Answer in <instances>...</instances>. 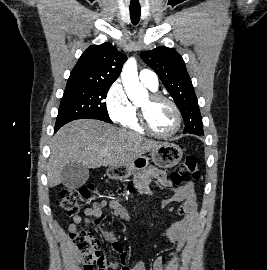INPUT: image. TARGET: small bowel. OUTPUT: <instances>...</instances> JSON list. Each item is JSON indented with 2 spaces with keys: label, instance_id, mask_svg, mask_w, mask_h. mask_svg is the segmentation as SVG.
I'll use <instances>...</instances> for the list:
<instances>
[{
  "label": "small bowel",
  "instance_id": "c3829d8e",
  "mask_svg": "<svg viewBox=\"0 0 267 270\" xmlns=\"http://www.w3.org/2000/svg\"><path fill=\"white\" fill-rule=\"evenodd\" d=\"M150 176L160 180L165 185L168 184L165 173L156 168H149L145 171L138 173L135 177V184L141 189L144 188ZM173 202L182 204V210L184 215L181 219L170 223V225L161 233V237L181 246L193 234L198 220L196 194L193 183H184L171 197L162 200L160 202V205L164 207L167 204ZM106 207L110 208L113 211V214L117 217L124 219L128 216L126 208L118 201L112 200L107 202L105 200H102L94 202L90 207L84 210L83 216H74L73 223L69 226L70 231L77 230V226L83 222L90 223L91 221H94L95 223H100L105 217L103 209ZM105 237L108 239H112L113 235L111 232H105ZM112 250L120 259H126V252L124 251L123 246L119 242L113 243ZM172 258L173 254H170L166 258L162 256L157 257L153 262V269L165 270L167 264L171 261ZM123 270L146 269L144 262L139 260L134 263L132 267H127L126 265H124Z\"/></svg>",
  "mask_w": 267,
  "mask_h": 270
}]
</instances>
